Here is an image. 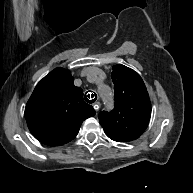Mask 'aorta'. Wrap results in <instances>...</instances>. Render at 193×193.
Masks as SVG:
<instances>
[{
  "label": "aorta",
  "instance_id": "762f6f07",
  "mask_svg": "<svg viewBox=\"0 0 193 193\" xmlns=\"http://www.w3.org/2000/svg\"><path fill=\"white\" fill-rule=\"evenodd\" d=\"M98 93L102 99V101L108 105V106H112L113 104V92L112 89L105 84H100L98 86Z\"/></svg>",
  "mask_w": 193,
  "mask_h": 193
}]
</instances>
